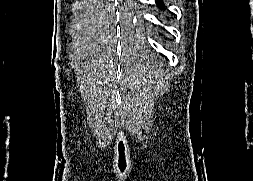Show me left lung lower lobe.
Masks as SVG:
<instances>
[{
  "label": "left lung lower lobe",
  "instance_id": "0a47b994",
  "mask_svg": "<svg viewBox=\"0 0 253 181\" xmlns=\"http://www.w3.org/2000/svg\"><path fill=\"white\" fill-rule=\"evenodd\" d=\"M159 5H163V3H162V0H158V2H157Z\"/></svg>",
  "mask_w": 253,
  "mask_h": 181
}]
</instances>
